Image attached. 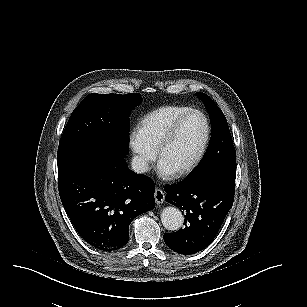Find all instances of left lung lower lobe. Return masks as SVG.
<instances>
[{"label": "left lung lower lobe", "instance_id": "1", "mask_svg": "<svg viewBox=\"0 0 307 307\" xmlns=\"http://www.w3.org/2000/svg\"><path fill=\"white\" fill-rule=\"evenodd\" d=\"M234 180L225 174L212 173L165 186V200L185 212V228L164 234L167 246L183 255L208 246L232 208Z\"/></svg>", "mask_w": 307, "mask_h": 307}]
</instances>
